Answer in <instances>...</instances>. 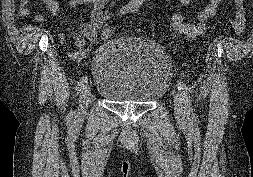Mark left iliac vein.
Returning <instances> with one entry per match:
<instances>
[{
    "label": "left iliac vein",
    "mask_w": 253,
    "mask_h": 177,
    "mask_svg": "<svg viewBox=\"0 0 253 177\" xmlns=\"http://www.w3.org/2000/svg\"><path fill=\"white\" fill-rule=\"evenodd\" d=\"M173 103H174V112L176 117L180 118V119H185L186 117V111H185V107H184V102L182 97L180 96L179 93L174 92L173 93Z\"/></svg>",
    "instance_id": "left-iliac-vein-1"
}]
</instances>
